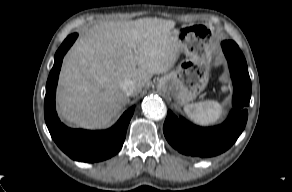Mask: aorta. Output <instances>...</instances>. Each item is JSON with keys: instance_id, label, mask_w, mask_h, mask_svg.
Here are the masks:
<instances>
[{"instance_id": "aorta-1", "label": "aorta", "mask_w": 292, "mask_h": 192, "mask_svg": "<svg viewBox=\"0 0 292 192\" xmlns=\"http://www.w3.org/2000/svg\"><path fill=\"white\" fill-rule=\"evenodd\" d=\"M142 110L154 120H160L166 114V109L162 99L153 95L144 98L142 102Z\"/></svg>"}]
</instances>
